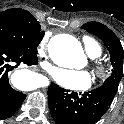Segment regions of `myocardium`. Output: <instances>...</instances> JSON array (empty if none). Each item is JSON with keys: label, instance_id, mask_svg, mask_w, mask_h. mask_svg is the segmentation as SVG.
I'll return each mask as SVG.
<instances>
[{"label": "myocardium", "instance_id": "myocardium-1", "mask_svg": "<svg viewBox=\"0 0 124 124\" xmlns=\"http://www.w3.org/2000/svg\"><path fill=\"white\" fill-rule=\"evenodd\" d=\"M94 72H95L96 78L100 81L107 79L110 73L108 65H106L105 63L101 61L95 62Z\"/></svg>", "mask_w": 124, "mask_h": 124}]
</instances>
